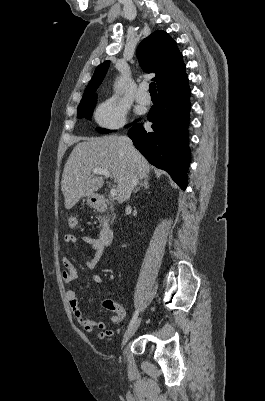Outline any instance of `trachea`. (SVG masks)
<instances>
[{"label": "trachea", "instance_id": "1", "mask_svg": "<svg viewBox=\"0 0 265 401\" xmlns=\"http://www.w3.org/2000/svg\"><path fill=\"white\" fill-rule=\"evenodd\" d=\"M149 92L157 93L156 84H155L154 82H151V83H150V85H149Z\"/></svg>", "mask_w": 265, "mask_h": 401}]
</instances>
